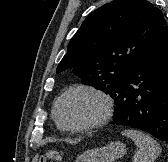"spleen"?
Segmentation results:
<instances>
[{"label":"spleen","mask_w":168,"mask_h":162,"mask_svg":"<svg viewBox=\"0 0 168 162\" xmlns=\"http://www.w3.org/2000/svg\"><path fill=\"white\" fill-rule=\"evenodd\" d=\"M122 135L132 139L139 148L133 157V162H154L161 153L157 141L142 131L127 129L122 131Z\"/></svg>","instance_id":"obj_1"}]
</instances>
